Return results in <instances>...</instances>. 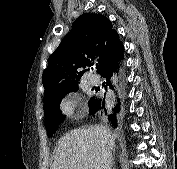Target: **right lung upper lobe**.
<instances>
[{
    "instance_id": "right-lung-upper-lobe-1",
    "label": "right lung upper lobe",
    "mask_w": 177,
    "mask_h": 169,
    "mask_svg": "<svg viewBox=\"0 0 177 169\" xmlns=\"http://www.w3.org/2000/svg\"><path fill=\"white\" fill-rule=\"evenodd\" d=\"M124 47L109 19L103 15L85 13L75 22L50 56L43 72L44 102L58 99L67 90L78 86L80 78L96 62L97 73L120 62Z\"/></svg>"
}]
</instances>
